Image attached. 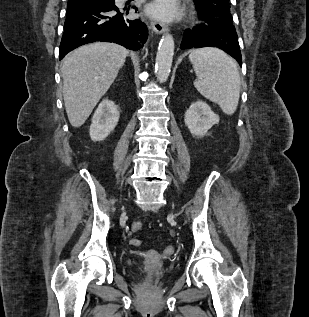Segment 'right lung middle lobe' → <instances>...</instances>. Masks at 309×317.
Returning a JSON list of instances; mask_svg holds the SVG:
<instances>
[{
  "label": "right lung middle lobe",
  "mask_w": 309,
  "mask_h": 317,
  "mask_svg": "<svg viewBox=\"0 0 309 317\" xmlns=\"http://www.w3.org/2000/svg\"><path fill=\"white\" fill-rule=\"evenodd\" d=\"M95 1L110 2V3H114L115 2V0H95Z\"/></svg>",
  "instance_id": "1"
}]
</instances>
